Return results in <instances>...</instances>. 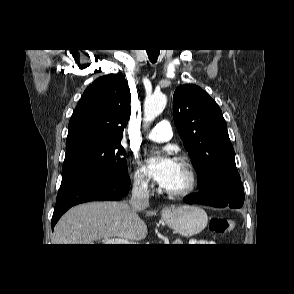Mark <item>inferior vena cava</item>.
Instances as JSON below:
<instances>
[{
  "mask_svg": "<svg viewBox=\"0 0 294 294\" xmlns=\"http://www.w3.org/2000/svg\"><path fill=\"white\" fill-rule=\"evenodd\" d=\"M130 205L135 212L141 211L149 205V190L147 181L141 178L134 181Z\"/></svg>",
  "mask_w": 294,
  "mask_h": 294,
  "instance_id": "602c4592",
  "label": "inferior vena cava"
}]
</instances>
